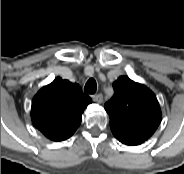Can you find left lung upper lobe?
<instances>
[{"label":"left lung upper lobe","instance_id":"obj_1","mask_svg":"<svg viewBox=\"0 0 184 174\" xmlns=\"http://www.w3.org/2000/svg\"><path fill=\"white\" fill-rule=\"evenodd\" d=\"M113 88V97L104 105L112 133L147 140L162 118L155 94L127 76H120L113 83Z\"/></svg>","mask_w":184,"mask_h":174}]
</instances>
